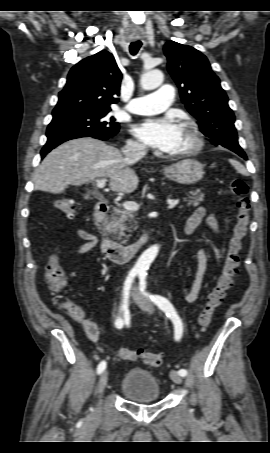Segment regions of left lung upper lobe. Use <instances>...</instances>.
<instances>
[{
    "label": "left lung upper lobe",
    "mask_w": 270,
    "mask_h": 453,
    "mask_svg": "<svg viewBox=\"0 0 270 453\" xmlns=\"http://www.w3.org/2000/svg\"><path fill=\"white\" fill-rule=\"evenodd\" d=\"M168 71L180 90L188 111L212 144L228 149L240 147L234 126L235 116L208 59L191 46L168 41L164 45Z\"/></svg>",
    "instance_id": "left-lung-upper-lobe-1"
}]
</instances>
